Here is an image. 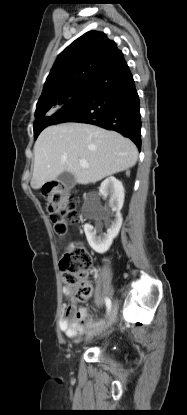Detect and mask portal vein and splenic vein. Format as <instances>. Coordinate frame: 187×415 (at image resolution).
Listing matches in <instances>:
<instances>
[{"label": "portal vein and splenic vein", "instance_id": "portal-vein-and-splenic-vein-1", "mask_svg": "<svg viewBox=\"0 0 187 415\" xmlns=\"http://www.w3.org/2000/svg\"><path fill=\"white\" fill-rule=\"evenodd\" d=\"M80 165H81L82 167H84V168H88V167H89V165H88V163H87V161H86V160H80Z\"/></svg>", "mask_w": 187, "mask_h": 415}]
</instances>
